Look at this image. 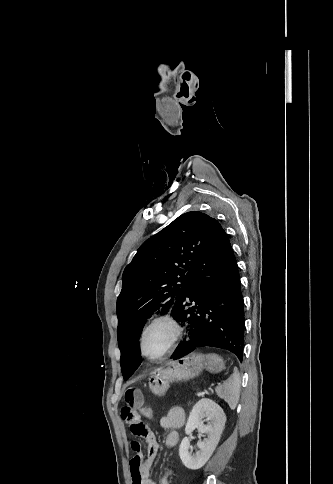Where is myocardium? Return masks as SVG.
I'll list each match as a JSON object with an SVG mask.
<instances>
[{"label": "myocardium", "mask_w": 333, "mask_h": 484, "mask_svg": "<svg viewBox=\"0 0 333 484\" xmlns=\"http://www.w3.org/2000/svg\"><path fill=\"white\" fill-rule=\"evenodd\" d=\"M167 324L171 330L172 334L167 341L165 347L155 356H152L148 354L145 350V338L148 333V331L155 325L157 324ZM184 328L181 324V322L172 314H159L155 316L152 320H150L146 326L143 328L141 335H140V340H139V350L140 354L147 360L149 361H159L163 359L166 355H168L174 347L177 345V343L180 341V339L183 336Z\"/></svg>", "instance_id": "1"}]
</instances>
